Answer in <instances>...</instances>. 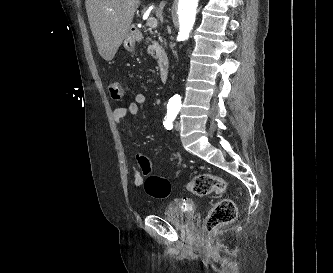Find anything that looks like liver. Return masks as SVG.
Segmentation results:
<instances>
[{"instance_id": "liver-1", "label": "liver", "mask_w": 333, "mask_h": 273, "mask_svg": "<svg viewBox=\"0 0 333 273\" xmlns=\"http://www.w3.org/2000/svg\"><path fill=\"white\" fill-rule=\"evenodd\" d=\"M139 4L140 0H85L90 28L104 60L114 58Z\"/></svg>"}]
</instances>
